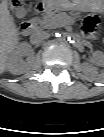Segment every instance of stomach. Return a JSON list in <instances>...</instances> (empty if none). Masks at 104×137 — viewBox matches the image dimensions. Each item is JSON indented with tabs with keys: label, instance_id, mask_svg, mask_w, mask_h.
Wrapping results in <instances>:
<instances>
[{
	"label": "stomach",
	"instance_id": "obj_1",
	"mask_svg": "<svg viewBox=\"0 0 104 137\" xmlns=\"http://www.w3.org/2000/svg\"><path fill=\"white\" fill-rule=\"evenodd\" d=\"M99 0H43V7L47 10H61L75 8L78 10H95Z\"/></svg>",
	"mask_w": 104,
	"mask_h": 137
}]
</instances>
